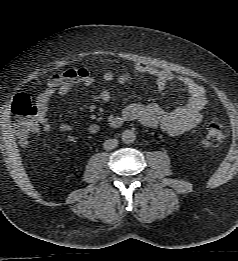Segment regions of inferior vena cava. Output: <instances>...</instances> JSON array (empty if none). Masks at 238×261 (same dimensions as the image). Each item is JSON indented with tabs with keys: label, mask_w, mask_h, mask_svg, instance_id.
<instances>
[{
	"label": "inferior vena cava",
	"mask_w": 238,
	"mask_h": 261,
	"mask_svg": "<svg viewBox=\"0 0 238 261\" xmlns=\"http://www.w3.org/2000/svg\"><path fill=\"white\" fill-rule=\"evenodd\" d=\"M118 146L117 139H108L103 143V148L105 150H112Z\"/></svg>",
	"instance_id": "obj_1"
}]
</instances>
